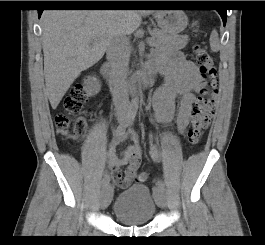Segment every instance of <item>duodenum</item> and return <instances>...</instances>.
I'll return each mask as SVG.
<instances>
[{
	"mask_svg": "<svg viewBox=\"0 0 265 245\" xmlns=\"http://www.w3.org/2000/svg\"><path fill=\"white\" fill-rule=\"evenodd\" d=\"M101 72L106 79L109 90L113 94H121V84L112 73V65L110 63L103 64ZM155 72L156 70L150 64H143L141 66V75L135 77L132 80L131 87H142L149 85Z\"/></svg>",
	"mask_w": 265,
	"mask_h": 245,
	"instance_id": "obj_1",
	"label": "duodenum"
}]
</instances>
